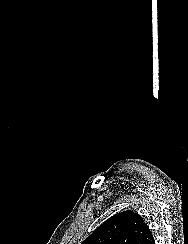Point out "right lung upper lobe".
<instances>
[{
  "label": "right lung upper lobe",
  "instance_id": "right-lung-upper-lobe-1",
  "mask_svg": "<svg viewBox=\"0 0 188 244\" xmlns=\"http://www.w3.org/2000/svg\"><path fill=\"white\" fill-rule=\"evenodd\" d=\"M82 244H154V238L143 218L124 211L107 219Z\"/></svg>",
  "mask_w": 188,
  "mask_h": 244
}]
</instances>
